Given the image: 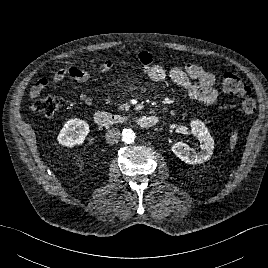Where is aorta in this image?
Listing matches in <instances>:
<instances>
[{"label": "aorta", "instance_id": "aorta-1", "mask_svg": "<svg viewBox=\"0 0 268 268\" xmlns=\"http://www.w3.org/2000/svg\"><path fill=\"white\" fill-rule=\"evenodd\" d=\"M136 138L135 132L131 129H124L122 132V140L127 143L131 144L134 142Z\"/></svg>", "mask_w": 268, "mask_h": 268}]
</instances>
